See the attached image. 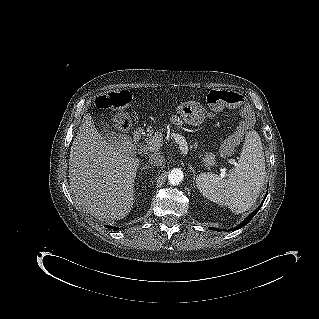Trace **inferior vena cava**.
Instances as JSON below:
<instances>
[{"instance_id": "1", "label": "inferior vena cava", "mask_w": 319, "mask_h": 319, "mask_svg": "<svg viewBox=\"0 0 319 319\" xmlns=\"http://www.w3.org/2000/svg\"><path fill=\"white\" fill-rule=\"evenodd\" d=\"M149 163L152 166L159 167L165 163V158L163 155L155 152L149 157Z\"/></svg>"}]
</instances>
